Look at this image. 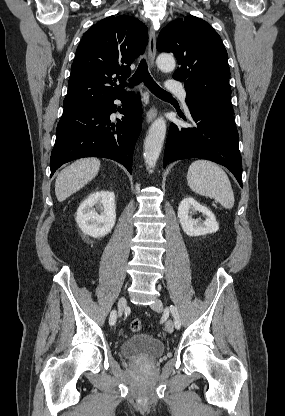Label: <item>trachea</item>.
I'll return each instance as SVG.
<instances>
[{
  "label": "trachea",
  "mask_w": 285,
  "mask_h": 416,
  "mask_svg": "<svg viewBox=\"0 0 285 416\" xmlns=\"http://www.w3.org/2000/svg\"><path fill=\"white\" fill-rule=\"evenodd\" d=\"M141 82H144V85L158 97L172 96L169 92H166L163 88L159 87V85L153 80L148 71L145 59H142L136 72L130 78V85L132 87L140 84Z\"/></svg>",
  "instance_id": "1"
}]
</instances>
